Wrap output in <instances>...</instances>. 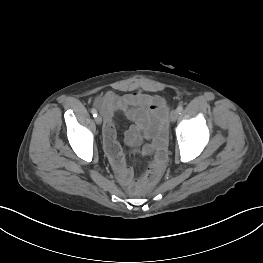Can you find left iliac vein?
Here are the masks:
<instances>
[{"mask_svg":"<svg viewBox=\"0 0 263 263\" xmlns=\"http://www.w3.org/2000/svg\"><path fill=\"white\" fill-rule=\"evenodd\" d=\"M178 116H179L178 110H177V109H176V110H173V111L171 112V114H170V120H171V122H175V121L177 120Z\"/></svg>","mask_w":263,"mask_h":263,"instance_id":"obj_1","label":"left iliac vein"}]
</instances>
